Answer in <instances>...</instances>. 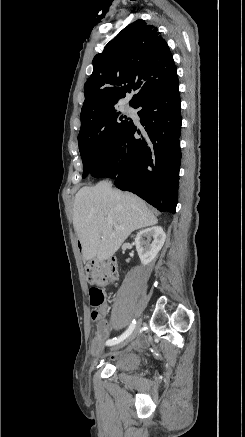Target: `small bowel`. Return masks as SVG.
<instances>
[{"instance_id":"obj_1","label":"small bowel","mask_w":245,"mask_h":437,"mask_svg":"<svg viewBox=\"0 0 245 437\" xmlns=\"http://www.w3.org/2000/svg\"><path fill=\"white\" fill-rule=\"evenodd\" d=\"M100 317L104 316L106 313V308L103 307L100 310ZM99 317V318H100ZM109 336V327L108 322L104 319H101L98 323L97 331L92 341V354L98 355L103 350V343Z\"/></svg>"}]
</instances>
